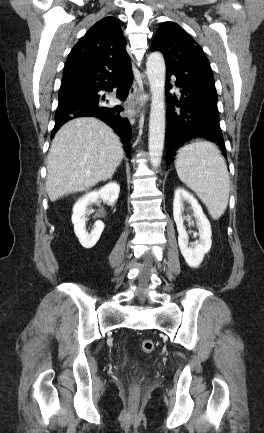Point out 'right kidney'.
Segmentation results:
<instances>
[{
    "mask_svg": "<svg viewBox=\"0 0 264 433\" xmlns=\"http://www.w3.org/2000/svg\"><path fill=\"white\" fill-rule=\"evenodd\" d=\"M120 192V186L116 182H110L98 191H92L82 196L73 207L72 223L74 232L80 244L85 248H92L99 240L104 223L100 220L94 224V229L88 233L85 225V215L87 207L97 202L98 199L107 201L109 204L116 202Z\"/></svg>",
    "mask_w": 264,
    "mask_h": 433,
    "instance_id": "1",
    "label": "right kidney"
}]
</instances>
